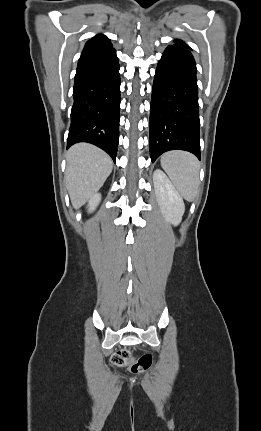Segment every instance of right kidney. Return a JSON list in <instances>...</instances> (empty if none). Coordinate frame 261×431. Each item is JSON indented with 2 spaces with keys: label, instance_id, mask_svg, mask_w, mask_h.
Instances as JSON below:
<instances>
[{
  "label": "right kidney",
  "instance_id": "ca27d5eb",
  "mask_svg": "<svg viewBox=\"0 0 261 431\" xmlns=\"http://www.w3.org/2000/svg\"><path fill=\"white\" fill-rule=\"evenodd\" d=\"M101 201V195L100 194H95L94 196H92L89 201H88V212H93L96 207L98 206V204Z\"/></svg>",
  "mask_w": 261,
  "mask_h": 431
}]
</instances>
